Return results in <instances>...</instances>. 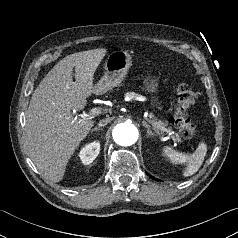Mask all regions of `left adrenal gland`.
Here are the masks:
<instances>
[{"mask_svg":"<svg viewBox=\"0 0 238 238\" xmlns=\"http://www.w3.org/2000/svg\"><path fill=\"white\" fill-rule=\"evenodd\" d=\"M143 126L147 128V136H148V137L154 135V133L151 131V128H150V126L147 124L146 121H143Z\"/></svg>","mask_w":238,"mask_h":238,"instance_id":"obj_1","label":"left adrenal gland"}]
</instances>
